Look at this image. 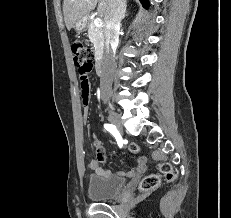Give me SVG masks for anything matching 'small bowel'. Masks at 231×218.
<instances>
[{"mask_svg": "<svg viewBox=\"0 0 231 218\" xmlns=\"http://www.w3.org/2000/svg\"><path fill=\"white\" fill-rule=\"evenodd\" d=\"M93 63H86L84 66H79L77 74L79 75L81 85V97L83 103L86 104L89 95V74L92 73ZM94 147L96 151V159H93L89 163V167L99 175L108 176L110 172L102 168V164L105 162V149L102 142L94 136ZM146 169V160L143 157H138L136 164L128 171H118L119 176L136 177L142 174Z\"/></svg>", "mask_w": 231, "mask_h": 218, "instance_id": "obj_1", "label": "small bowel"}]
</instances>
